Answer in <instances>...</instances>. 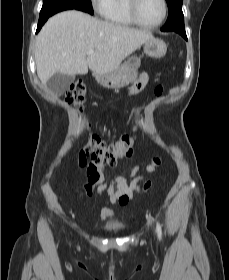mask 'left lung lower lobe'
<instances>
[{
    "label": "left lung lower lobe",
    "mask_w": 229,
    "mask_h": 280,
    "mask_svg": "<svg viewBox=\"0 0 229 280\" xmlns=\"http://www.w3.org/2000/svg\"><path fill=\"white\" fill-rule=\"evenodd\" d=\"M174 32L179 33L183 38H185L187 40V36H186V32H185V28L184 29H178Z\"/></svg>",
    "instance_id": "obj_1"
}]
</instances>
